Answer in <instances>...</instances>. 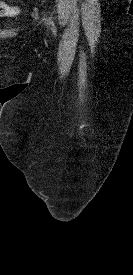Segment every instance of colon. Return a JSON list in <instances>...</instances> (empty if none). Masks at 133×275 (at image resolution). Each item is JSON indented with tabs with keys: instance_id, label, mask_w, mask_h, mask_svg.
I'll return each mask as SVG.
<instances>
[{
	"instance_id": "colon-1",
	"label": "colon",
	"mask_w": 133,
	"mask_h": 275,
	"mask_svg": "<svg viewBox=\"0 0 133 275\" xmlns=\"http://www.w3.org/2000/svg\"><path fill=\"white\" fill-rule=\"evenodd\" d=\"M18 14V8L0 1V16H14Z\"/></svg>"
}]
</instances>
